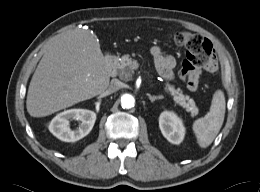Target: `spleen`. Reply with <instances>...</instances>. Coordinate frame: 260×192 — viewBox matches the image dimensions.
Here are the masks:
<instances>
[{
    "instance_id": "spleen-1",
    "label": "spleen",
    "mask_w": 260,
    "mask_h": 192,
    "mask_svg": "<svg viewBox=\"0 0 260 192\" xmlns=\"http://www.w3.org/2000/svg\"><path fill=\"white\" fill-rule=\"evenodd\" d=\"M226 102L222 90L213 94L210 111L193 123L197 143L201 148L208 147L219 133L225 116Z\"/></svg>"
}]
</instances>
